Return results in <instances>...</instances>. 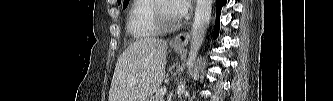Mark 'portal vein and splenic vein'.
<instances>
[{
  "mask_svg": "<svg viewBox=\"0 0 333 101\" xmlns=\"http://www.w3.org/2000/svg\"><path fill=\"white\" fill-rule=\"evenodd\" d=\"M166 91H167L166 88L161 89V95H165Z\"/></svg>",
  "mask_w": 333,
  "mask_h": 101,
  "instance_id": "obj_1",
  "label": "portal vein and splenic vein"
}]
</instances>
